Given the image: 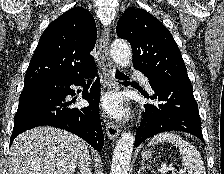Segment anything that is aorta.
I'll return each instance as SVG.
<instances>
[{
    "mask_svg": "<svg viewBox=\"0 0 224 174\" xmlns=\"http://www.w3.org/2000/svg\"><path fill=\"white\" fill-rule=\"evenodd\" d=\"M110 54L114 62L121 67H126L132 59L131 48L122 39L111 44ZM134 141L135 138L130 132L121 135L113 153L110 174H128Z\"/></svg>",
    "mask_w": 224,
    "mask_h": 174,
    "instance_id": "762f6f07",
    "label": "aorta"
}]
</instances>
